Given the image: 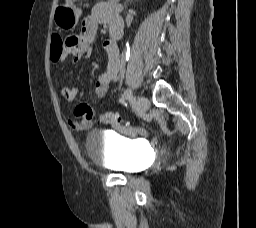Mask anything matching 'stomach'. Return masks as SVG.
I'll use <instances>...</instances> for the list:
<instances>
[{
	"label": "stomach",
	"mask_w": 256,
	"mask_h": 228,
	"mask_svg": "<svg viewBox=\"0 0 256 228\" xmlns=\"http://www.w3.org/2000/svg\"><path fill=\"white\" fill-rule=\"evenodd\" d=\"M76 1L67 0L65 5L59 6L54 10L53 19L58 28L72 30L77 25L82 10Z\"/></svg>",
	"instance_id": "0dacf381"
}]
</instances>
